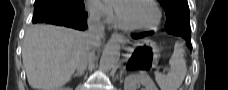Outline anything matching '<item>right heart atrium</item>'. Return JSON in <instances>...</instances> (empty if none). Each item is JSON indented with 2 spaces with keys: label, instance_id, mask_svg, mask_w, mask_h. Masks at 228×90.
I'll return each mask as SVG.
<instances>
[{
  "label": "right heart atrium",
  "instance_id": "1",
  "mask_svg": "<svg viewBox=\"0 0 228 90\" xmlns=\"http://www.w3.org/2000/svg\"><path fill=\"white\" fill-rule=\"evenodd\" d=\"M87 8L92 16L101 19L106 23H110L114 19V6L109 1L88 0Z\"/></svg>",
  "mask_w": 228,
  "mask_h": 90
}]
</instances>
